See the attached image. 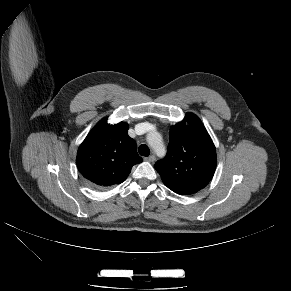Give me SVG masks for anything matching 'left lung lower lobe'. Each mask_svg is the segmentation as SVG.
Wrapping results in <instances>:
<instances>
[{
    "label": "left lung lower lobe",
    "instance_id": "1",
    "mask_svg": "<svg viewBox=\"0 0 291 291\" xmlns=\"http://www.w3.org/2000/svg\"><path fill=\"white\" fill-rule=\"evenodd\" d=\"M163 183L169 188L171 189L173 192L177 193V194H181V195H189V194H193L196 193L186 187H183L181 185L178 184H174L171 182H167V181H163Z\"/></svg>",
    "mask_w": 291,
    "mask_h": 291
}]
</instances>
